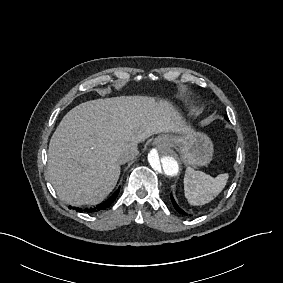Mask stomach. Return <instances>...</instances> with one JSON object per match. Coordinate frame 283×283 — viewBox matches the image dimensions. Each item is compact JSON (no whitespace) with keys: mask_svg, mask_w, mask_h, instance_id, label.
<instances>
[{"mask_svg":"<svg viewBox=\"0 0 283 283\" xmlns=\"http://www.w3.org/2000/svg\"><path fill=\"white\" fill-rule=\"evenodd\" d=\"M162 136L167 137V145L161 146L158 144V139ZM153 145L159 150H164L169 147H174L178 150L181 160L186 165L191 166H206L213 157V143L211 139L204 133L191 132L180 135H159L153 140Z\"/></svg>","mask_w":283,"mask_h":283,"instance_id":"1","label":"stomach"}]
</instances>
